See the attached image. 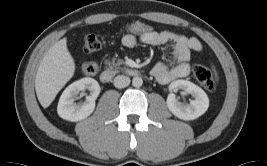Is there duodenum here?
I'll use <instances>...</instances> for the list:
<instances>
[{
  "instance_id": "410a0bca",
  "label": "duodenum",
  "mask_w": 267,
  "mask_h": 166,
  "mask_svg": "<svg viewBox=\"0 0 267 166\" xmlns=\"http://www.w3.org/2000/svg\"><path fill=\"white\" fill-rule=\"evenodd\" d=\"M124 74H127L132 77H137L140 75V71L137 69H132V68H126L123 71ZM116 75V72L111 69H104L100 72V80L102 83H110L114 76Z\"/></svg>"
}]
</instances>
